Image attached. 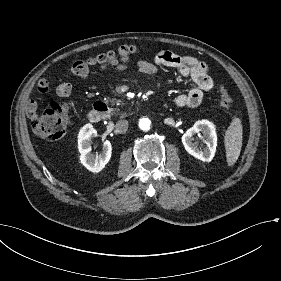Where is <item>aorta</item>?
<instances>
[{
  "label": "aorta",
  "instance_id": "1",
  "mask_svg": "<svg viewBox=\"0 0 281 281\" xmlns=\"http://www.w3.org/2000/svg\"><path fill=\"white\" fill-rule=\"evenodd\" d=\"M148 126H149V120H142V122L140 123V127L145 130V129H148Z\"/></svg>",
  "mask_w": 281,
  "mask_h": 281
}]
</instances>
